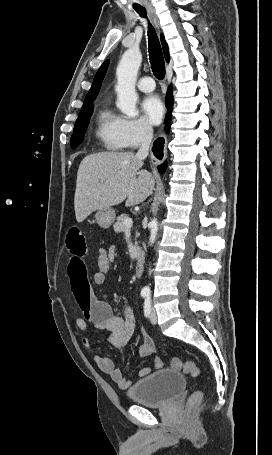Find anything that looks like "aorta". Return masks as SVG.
Returning <instances> with one entry per match:
<instances>
[{
	"instance_id": "aorta-1",
	"label": "aorta",
	"mask_w": 272,
	"mask_h": 455,
	"mask_svg": "<svg viewBox=\"0 0 272 455\" xmlns=\"http://www.w3.org/2000/svg\"><path fill=\"white\" fill-rule=\"evenodd\" d=\"M142 62V54L138 48H129L126 50L118 64L116 75L117 84L115 87L117 93V107L128 116L134 118L138 115L136 102L138 99L135 83L137 73ZM158 232V221L153 218L150 222V243L153 244ZM144 291H150L148 286L143 288Z\"/></svg>"
}]
</instances>
